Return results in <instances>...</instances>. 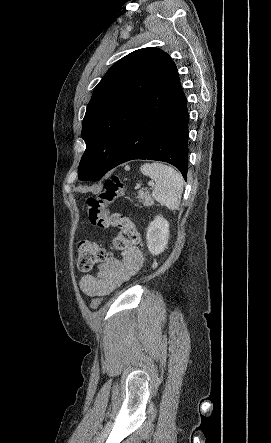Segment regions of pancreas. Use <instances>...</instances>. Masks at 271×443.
Returning a JSON list of instances; mask_svg holds the SVG:
<instances>
[{"mask_svg": "<svg viewBox=\"0 0 271 443\" xmlns=\"http://www.w3.org/2000/svg\"><path fill=\"white\" fill-rule=\"evenodd\" d=\"M140 202H143L144 206H153L154 200L151 198L148 190H145V192H139Z\"/></svg>", "mask_w": 271, "mask_h": 443, "instance_id": "pancreas-1", "label": "pancreas"}]
</instances>
